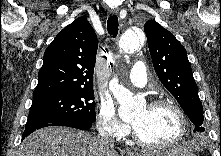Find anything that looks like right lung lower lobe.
<instances>
[{"label":"right lung lower lobe","instance_id":"1","mask_svg":"<svg viewBox=\"0 0 221 156\" xmlns=\"http://www.w3.org/2000/svg\"><path fill=\"white\" fill-rule=\"evenodd\" d=\"M47 126H67V127H72V128L82 129V130H88L92 127V123H85V122H62L61 123L60 122V123L45 124L39 127H28V128H25L22 139L27 137L29 134H31L35 130L43 128V127H47Z\"/></svg>","mask_w":221,"mask_h":156}]
</instances>
